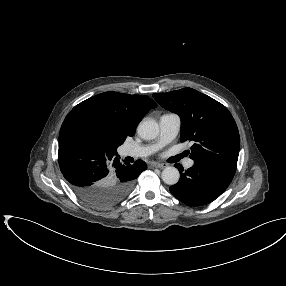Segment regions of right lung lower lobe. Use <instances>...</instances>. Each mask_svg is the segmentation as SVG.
I'll use <instances>...</instances> for the list:
<instances>
[{
	"instance_id": "right-lung-lower-lobe-1",
	"label": "right lung lower lobe",
	"mask_w": 286,
	"mask_h": 286,
	"mask_svg": "<svg viewBox=\"0 0 286 286\" xmlns=\"http://www.w3.org/2000/svg\"><path fill=\"white\" fill-rule=\"evenodd\" d=\"M59 166L75 194L95 208L119 203L131 190L133 180L146 163L122 164L98 142L64 121L59 133Z\"/></svg>"
}]
</instances>
